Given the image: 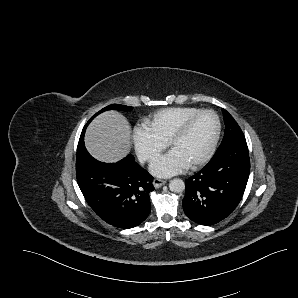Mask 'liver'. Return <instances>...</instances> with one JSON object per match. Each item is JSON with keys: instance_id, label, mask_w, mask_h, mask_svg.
I'll return each instance as SVG.
<instances>
[{"instance_id": "1", "label": "liver", "mask_w": 298, "mask_h": 298, "mask_svg": "<svg viewBox=\"0 0 298 298\" xmlns=\"http://www.w3.org/2000/svg\"><path fill=\"white\" fill-rule=\"evenodd\" d=\"M131 127L126 117L113 109L97 115L87 126L84 145L97 161L117 163L130 153Z\"/></svg>"}]
</instances>
